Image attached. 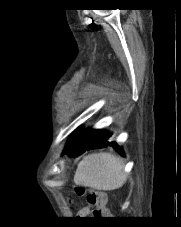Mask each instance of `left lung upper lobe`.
Segmentation results:
<instances>
[{"mask_svg":"<svg viewBox=\"0 0 181 227\" xmlns=\"http://www.w3.org/2000/svg\"><path fill=\"white\" fill-rule=\"evenodd\" d=\"M81 132H82V128H81V127L77 128V129L74 131L73 135L71 136V138H70L68 144H70L71 142H73V141L81 134Z\"/></svg>","mask_w":181,"mask_h":227,"instance_id":"left-lung-upper-lobe-1","label":"left lung upper lobe"}]
</instances>
